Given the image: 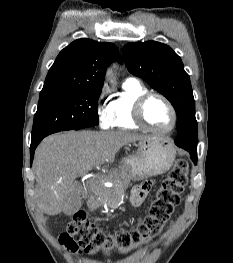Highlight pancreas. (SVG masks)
Returning a JSON list of instances; mask_svg holds the SVG:
<instances>
[{"mask_svg":"<svg viewBox=\"0 0 233 263\" xmlns=\"http://www.w3.org/2000/svg\"><path fill=\"white\" fill-rule=\"evenodd\" d=\"M113 181L115 182L114 188L101 187L98 194L101 204H107L108 206H117L120 204L124 194V177L118 175Z\"/></svg>","mask_w":233,"mask_h":263,"instance_id":"cf45deb5","label":"pancreas"}]
</instances>
